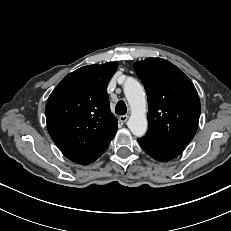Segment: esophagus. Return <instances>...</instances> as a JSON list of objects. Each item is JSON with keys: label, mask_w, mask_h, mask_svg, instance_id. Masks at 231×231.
Returning <instances> with one entry per match:
<instances>
[{"label": "esophagus", "mask_w": 231, "mask_h": 231, "mask_svg": "<svg viewBox=\"0 0 231 231\" xmlns=\"http://www.w3.org/2000/svg\"><path fill=\"white\" fill-rule=\"evenodd\" d=\"M128 120V115H122L119 117V121L124 124Z\"/></svg>", "instance_id": "obj_1"}]
</instances>
